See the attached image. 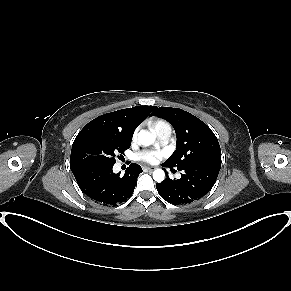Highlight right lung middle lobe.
<instances>
[{"label": "right lung middle lobe", "mask_w": 291, "mask_h": 291, "mask_svg": "<svg viewBox=\"0 0 291 291\" xmlns=\"http://www.w3.org/2000/svg\"><path fill=\"white\" fill-rule=\"evenodd\" d=\"M132 136L105 128H90L79 133L72 145L70 168L73 173L113 166L115 154H123L131 145Z\"/></svg>", "instance_id": "obj_1"}]
</instances>
